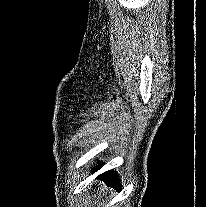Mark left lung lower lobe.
Here are the masks:
<instances>
[{
	"label": "left lung lower lobe",
	"mask_w": 206,
	"mask_h": 207,
	"mask_svg": "<svg viewBox=\"0 0 206 207\" xmlns=\"http://www.w3.org/2000/svg\"><path fill=\"white\" fill-rule=\"evenodd\" d=\"M101 166L102 164L100 163L98 169ZM94 171H97V169H94ZM98 178L103 179L108 185L115 187L118 191L121 190L120 183L118 182L119 178L115 172L113 171L104 172Z\"/></svg>",
	"instance_id": "0a47b994"
}]
</instances>
